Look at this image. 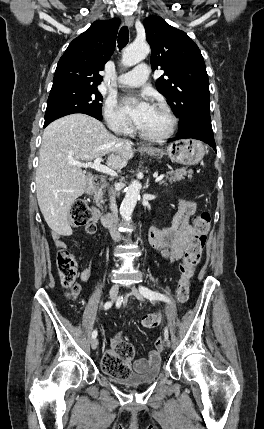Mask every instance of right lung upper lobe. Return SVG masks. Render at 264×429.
Segmentation results:
<instances>
[{"instance_id":"right-lung-upper-lobe-1","label":"right lung upper lobe","mask_w":264,"mask_h":429,"mask_svg":"<svg viewBox=\"0 0 264 429\" xmlns=\"http://www.w3.org/2000/svg\"><path fill=\"white\" fill-rule=\"evenodd\" d=\"M120 19L95 21L74 39L60 58L52 89L65 86H95L102 81L99 71L114 52Z\"/></svg>"}]
</instances>
